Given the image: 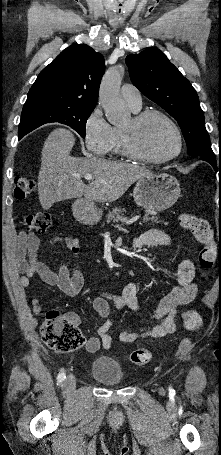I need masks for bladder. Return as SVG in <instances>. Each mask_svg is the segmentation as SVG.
<instances>
[{
    "mask_svg": "<svg viewBox=\"0 0 221 455\" xmlns=\"http://www.w3.org/2000/svg\"><path fill=\"white\" fill-rule=\"evenodd\" d=\"M91 374L100 382L108 385H119L123 381L120 364L105 359H97L92 363Z\"/></svg>",
    "mask_w": 221,
    "mask_h": 455,
    "instance_id": "obj_1",
    "label": "bladder"
}]
</instances>
